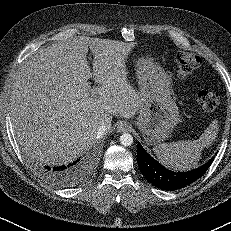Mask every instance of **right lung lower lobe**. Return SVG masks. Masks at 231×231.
<instances>
[{
  "label": "right lung lower lobe",
  "mask_w": 231,
  "mask_h": 231,
  "mask_svg": "<svg viewBox=\"0 0 231 231\" xmlns=\"http://www.w3.org/2000/svg\"><path fill=\"white\" fill-rule=\"evenodd\" d=\"M97 158L96 153H90L69 165L44 166L39 172L44 179L60 187H72L79 184L91 171Z\"/></svg>",
  "instance_id": "1"
}]
</instances>
